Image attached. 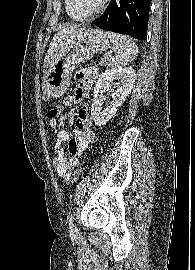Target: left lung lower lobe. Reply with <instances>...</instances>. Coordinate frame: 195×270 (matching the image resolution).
<instances>
[{
	"mask_svg": "<svg viewBox=\"0 0 195 270\" xmlns=\"http://www.w3.org/2000/svg\"><path fill=\"white\" fill-rule=\"evenodd\" d=\"M150 3L151 0H111L105 12L94 21V24L104 30L145 40Z\"/></svg>",
	"mask_w": 195,
	"mask_h": 270,
	"instance_id": "left-lung-lower-lobe-1",
	"label": "left lung lower lobe"
}]
</instances>
